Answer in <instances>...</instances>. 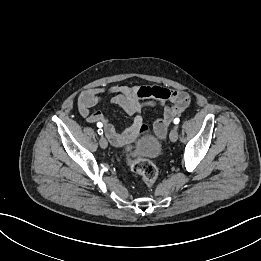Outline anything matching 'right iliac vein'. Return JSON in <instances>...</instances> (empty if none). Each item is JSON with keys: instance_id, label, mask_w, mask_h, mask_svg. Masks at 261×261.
<instances>
[{"instance_id": "obj_1", "label": "right iliac vein", "mask_w": 261, "mask_h": 261, "mask_svg": "<svg viewBox=\"0 0 261 261\" xmlns=\"http://www.w3.org/2000/svg\"><path fill=\"white\" fill-rule=\"evenodd\" d=\"M100 147L105 149L108 146V142L104 136H102L99 140Z\"/></svg>"}]
</instances>
